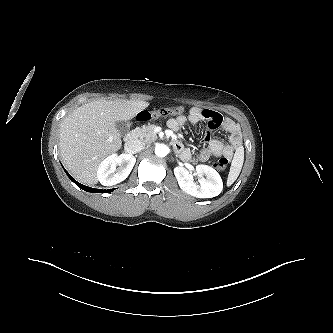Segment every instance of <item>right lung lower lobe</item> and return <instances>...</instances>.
<instances>
[{
    "label": "right lung lower lobe",
    "instance_id": "1",
    "mask_svg": "<svg viewBox=\"0 0 333 333\" xmlns=\"http://www.w3.org/2000/svg\"><path fill=\"white\" fill-rule=\"evenodd\" d=\"M66 174L68 175V177L70 178V180L72 182H74L79 188L87 191V192H96V193H110L112 190L108 189V190H101V189H95V188H91V187H88V186H85V185H82L81 183L77 182L76 180H74L70 175L69 173L65 170Z\"/></svg>",
    "mask_w": 333,
    "mask_h": 333
}]
</instances>
